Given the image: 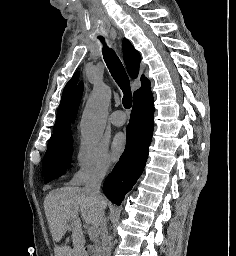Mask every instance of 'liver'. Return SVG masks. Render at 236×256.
Masks as SVG:
<instances>
[{"mask_svg": "<svg viewBox=\"0 0 236 256\" xmlns=\"http://www.w3.org/2000/svg\"><path fill=\"white\" fill-rule=\"evenodd\" d=\"M105 206L106 202L100 212L95 200L89 198L81 188L74 186L57 188L49 192L44 200V212L55 242V256H84L85 238L79 212L82 220L97 230L103 224ZM66 232H72L73 248L57 244L63 240Z\"/></svg>", "mask_w": 236, "mask_h": 256, "instance_id": "obj_1", "label": "liver"}]
</instances>
